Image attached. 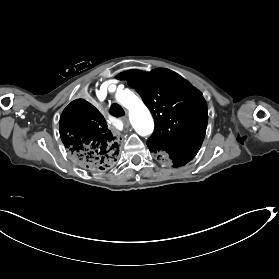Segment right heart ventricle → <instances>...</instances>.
Masks as SVG:
<instances>
[{
    "instance_id": "right-heart-ventricle-1",
    "label": "right heart ventricle",
    "mask_w": 279,
    "mask_h": 279,
    "mask_svg": "<svg viewBox=\"0 0 279 279\" xmlns=\"http://www.w3.org/2000/svg\"><path fill=\"white\" fill-rule=\"evenodd\" d=\"M98 53H99V49H96L95 54L83 57L82 63L89 66L96 65L102 59V57ZM101 67L102 66L96 67L94 71H98L99 69H101ZM107 87L108 85L100 86L98 92L104 93ZM137 95H138L137 92L132 89L120 88L118 89V93L116 95L115 101L119 106H121L123 109L126 110L132 105V101Z\"/></svg>"
}]
</instances>
